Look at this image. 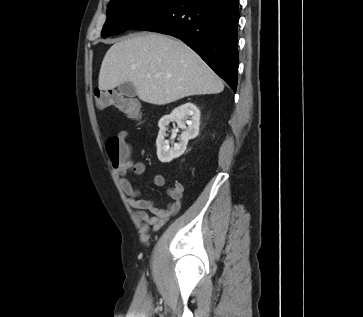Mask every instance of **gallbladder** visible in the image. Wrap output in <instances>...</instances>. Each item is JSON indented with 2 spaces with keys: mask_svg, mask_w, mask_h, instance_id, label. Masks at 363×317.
I'll return each mask as SVG.
<instances>
[{
  "mask_svg": "<svg viewBox=\"0 0 363 317\" xmlns=\"http://www.w3.org/2000/svg\"><path fill=\"white\" fill-rule=\"evenodd\" d=\"M118 91L120 94L133 98L136 96V89L131 82H124L118 86Z\"/></svg>",
  "mask_w": 363,
  "mask_h": 317,
  "instance_id": "gallbladder-1",
  "label": "gallbladder"
}]
</instances>
